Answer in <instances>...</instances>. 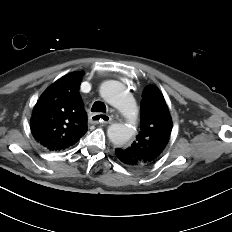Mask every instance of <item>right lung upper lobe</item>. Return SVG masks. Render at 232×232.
Listing matches in <instances>:
<instances>
[{
	"mask_svg": "<svg viewBox=\"0 0 232 232\" xmlns=\"http://www.w3.org/2000/svg\"><path fill=\"white\" fill-rule=\"evenodd\" d=\"M82 77L83 72L61 77L42 93L33 108L31 133L49 151L69 148L87 131V114L79 95Z\"/></svg>",
	"mask_w": 232,
	"mask_h": 232,
	"instance_id": "right-lung-upper-lobe-1",
	"label": "right lung upper lobe"
}]
</instances>
